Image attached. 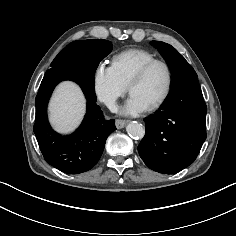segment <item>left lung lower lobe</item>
<instances>
[{"mask_svg": "<svg viewBox=\"0 0 236 236\" xmlns=\"http://www.w3.org/2000/svg\"><path fill=\"white\" fill-rule=\"evenodd\" d=\"M206 112L197 77L172 87L161 108L144 119L145 136L138 146L144 163L164 174L177 173L192 164L206 139Z\"/></svg>", "mask_w": 236, "mask_h": 236, "instance_id": "obj_1", "label": "left lung lower lobe"}]
</instances>
